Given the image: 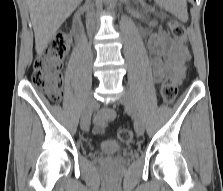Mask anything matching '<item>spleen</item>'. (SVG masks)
<instances>
[{"mask_svg": "<svg viewBox=\"0 0 223 191\" xmlns=\"http://www.w3.org/2000/svg\"><path fill=\"white\" fill-rule=\"evenodd\" d=\"M170 11L179 17L182 21L187 20L186 0H170Z\"/></svg>", "mask_w": 223, "mask_h": 191, "instance_id": "spleen-1", "label": "spleen"}]
</instances>
